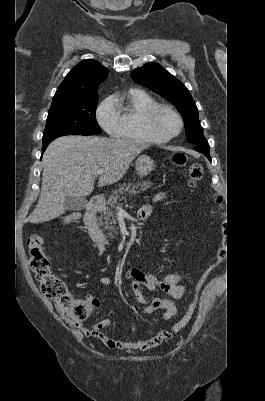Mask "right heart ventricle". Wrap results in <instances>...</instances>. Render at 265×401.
Here are the masks:
<instances>
[{"label": "right heart ventricle", "mask_w": 265, "mask_h": 401, "mask_svg": "<svg viewBox=\"0 0 265 401\" xmlns=\"http://www.w3.org/2000/svg\"><path fill=\"white\" fill-rule=\"evenodd\" d=\"M119 125L113 133L116 139L152 142L143 125L145 113L157 105V101L140 89L132 88L113 98Z\"/></svg>", "instance_id": "1"}]
</instances>
